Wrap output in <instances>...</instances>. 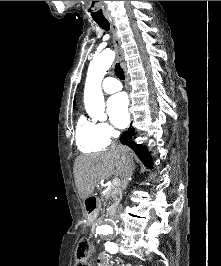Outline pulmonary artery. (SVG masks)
Here are the masks:
<instances>
[{
	"instance_id": "1",
	"label": "pulmonary artery",
	"mask_w": 221,
	"mask_h": 266,
	"mask_svg": "<svg viewBox=\"0 0 221 266\" xmlns=\"http://www.w3.org/2000/svg\"><path fill=\"white\" fill-rule=\"evenodd\" d=\"M121 88V83L117 79L112 77H107L102 82V89L109 94L115 93L121 90Z\"/></svg>"
}]
</instances>
